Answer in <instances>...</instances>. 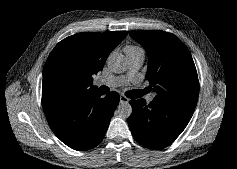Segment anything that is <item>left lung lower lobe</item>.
<instances>
[{
    "mask_svg": "<svg viewBox=\"0 0 237 169\" xmlns=\"http://www.w3.org/2000/svg\"><path fill=\"white\" fill-rule=\"evenodd\" d=\"M132 114L128 125L134 139L150 149L159 150L170 145L185 129L194 109L177 103L144 99L131 100Z\"/></svg>",
    "mask_w": 237,
    "mask_h": 169,
    "instance_id": "obj_1",
    "label": "left lung lower lobe"
}]
</instances>
